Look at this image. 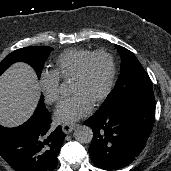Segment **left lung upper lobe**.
I'll list each match as a JSON object with an SVG mask.
<instances>
[{
    "label": "left lung upper lobe",
    "instance_id": "5c2ea615",
    "mask_svg": "<svg viewBox=\"0 0 171 171\" xmlns=\"http://www.w3.org/2000/svg\"><path fill=\"white\" fill-rule=\"evenodd\" d=\"M116 47L122 61L120 76L115 87L96 113L107 112L133 100L155 102L151 79L136 56L122 46L117 45Z\"/></svg>",
    "mask_w": 171,
    "mask_h": 171
}]
</instances>
